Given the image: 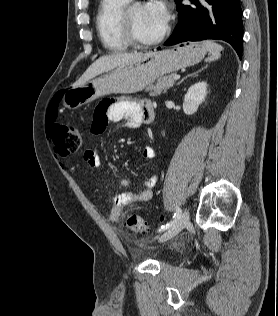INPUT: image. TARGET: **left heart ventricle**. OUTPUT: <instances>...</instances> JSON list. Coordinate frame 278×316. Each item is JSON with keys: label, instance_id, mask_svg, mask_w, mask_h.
<instances>
[{"label": "left heart ventricle", "instance_id": "b2bd125f", "mask_svg": "<svg viewBox=\"0 0 278 316\" xmlns=\"http://www.w3.org/2000/svg\"><path fill=\"white\" fill-rule=\"evenodd\" d=\"M135 31L143 40H151L161 34L165 26L155 21L147 12L145 5H135L131 10Z\"/></svg>", "mask_w": 278, "mask_h": 316}]
</instances>
